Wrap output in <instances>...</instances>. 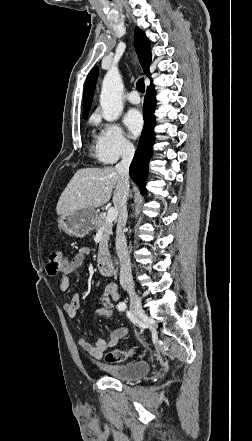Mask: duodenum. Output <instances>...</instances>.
I'll return each mask as SVG.
<instances>
[{
  "label": "duodenum",
  "mask_w": 252,
  "mask_h": 441,
  "mask_svg": "<svg viewBox=\"0 0 252 441\" xmlns=\"http://www.w3.org/2000/svg\"><path fill=\"white\" fill-rule=\"evenodd\" d=\"M99 270L103 275L111 276L114 274V266L112 261L105 255H101L99 258Z\"/></svg>",
  "instance_id": "obj_1"
}]
</instances>
